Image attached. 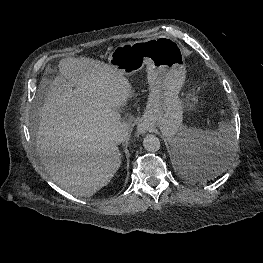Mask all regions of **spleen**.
Segmentation results:
<instances>
[{
	"label": "spleen",
	"mask_w": 263,
	"mask_h": 263,
	"mask_svg": "<svg viewBox=\"0 0 263 263\" xmlns=\"http://www.w3.org/2000/svg\"><path fill=\"white\" fill-rule=\"evenodd\" d=\"M173 151L181 154H197L209 146H216L224 152V162L214 175H220L229 164L230 155L236 148L235 129L231 123L219 124L218 131L211 132L197 128L183 127L170 142Z\"/></svg>",
	"instance_id": "3e777b00"
}]
</instances>
